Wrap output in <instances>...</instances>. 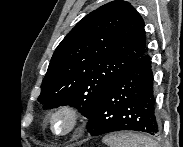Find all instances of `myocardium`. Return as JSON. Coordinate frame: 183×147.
Here are the masks:
<instances>
[{
    "mask_svg": "<svg viewBox=\"0 0 183 147\" xmlns=\"http://www.w3.org/2000/svg\"><path fill=\"white\" fill-rule=\"evenodd\" d=\"M64 114L68 116L71 120V127L69 130L58 133L54 128V119L58 116ZM82 115L77 107L72 104H60L54 107L48 115V125L50 131L57 137H68L74 134L81 126Z\"/></svg>",
    "mask_w": 183,
    "mask_h": 147,
    "instance_id": "obj_1",
    "label": "myocardium"
}]
</instances>
